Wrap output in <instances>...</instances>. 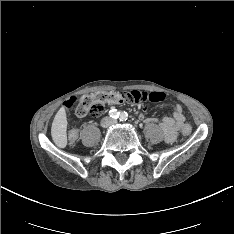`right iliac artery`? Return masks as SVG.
<instances>
[{
    "label": "right iliac artery",
    "instance_id": "1",
    "mask_svg": "<svg viewBox=\"0 0 234 234\" xmlns=\"http://www.w3.org/2000/svg\"><path fill=\"white\" fill-rule=\"evenodd\" d=\"M110 117L117 119L120 116V112L116 109H112L109 111Z\"/></svg>",
    "mask_w": 234,
    "mask_h": 234
}]
</instances>
